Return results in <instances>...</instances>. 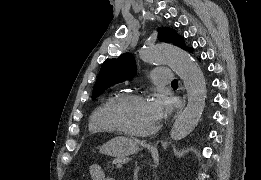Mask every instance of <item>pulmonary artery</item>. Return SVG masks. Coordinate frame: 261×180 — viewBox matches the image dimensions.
Here are the masks:
<instances>
[{
  "label": "pulmonary artery",
  "mask_w": 261,
  "mask_h": 180,
  "mask_svg": "<svg viewBox=\"0 0 261 180\" xmlns=\"http://www.w3.org/2000/svg\"><path fill=\"white\" fill-rule=\"evenodd\" d=\"M152 75L153 83H174V78L163 77H175L176 73L171 72V67H156V69L152 70Z\"/></svg>",
  "instance_id": "pulmonary-artery-1"
}]
</instances>
